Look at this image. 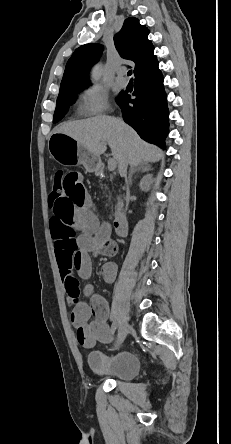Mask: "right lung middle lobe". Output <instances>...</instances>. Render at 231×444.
<instances>
[{
  "label": "right lung middle lobe",
  "mask_w": 231,
  "mask_h": 444,
  "mask_svg": "<svg viewBox=\"0 0 231 444\" xmlns=\"http://www.w3.org/2000/svg\"><path fill=\"white\" fill-rule=\"evenodd\" d=\"M81 88H77L74 90H70L64 93H59L56 103V109L53 117V123H57L60 121L67 111V107L72 101L75 99V93L79 91Z\"/></svg>",
  "instance_id": "obj_1"
}]
</instances>
